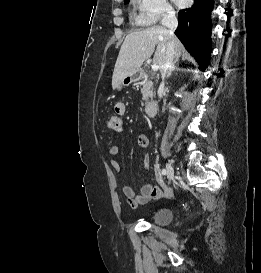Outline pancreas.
<instances>
[{
	"instance_id": "1",
	"label": "pancreas",
	"mask_w": 261,
	"mask_h": 273,
	"mask_svg": "<svg viewBox=\"0 0 261 273\" xmlns=\"http://www.w3.org/2000/svg\"><path fill=\"white\" fill-rule=\"evenodd\" d=\"M145 75V74H144ZM143 100L147 103L150 96L153 95V81L145 80L142 88Z\"/></svg>"
}]
</instances>
